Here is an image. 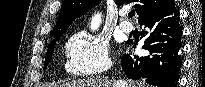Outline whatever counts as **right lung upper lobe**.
Instances as JSON below:
<instances>
[{
  "label": "right lung upper lobe",
  "mask_w": 205,
  "mask_h": 87,
  "mask_svg": "<svg viewBox=\"0 0 205 87\" xmlns=\"http://www.w3.org/2000/svg\"><path fill=\"white\" fill-rule=\"evenodd\" d=\"M101 0H64L63 5L58 17L57 25L51 34L57 38L62 36L69 25L81 15L85 14L89 9L98 4ZM117 5H121L131 0H115ZM137 2L135 5L136 12L139 19L162 4L165 0H134ZM52 44V43H51ZM50 44V45H51ZM49 45V46H50Z\"/></svg>",
  "instance_id": "right-lung-upper-lobe-1"
}]
</instances>
